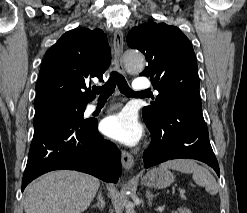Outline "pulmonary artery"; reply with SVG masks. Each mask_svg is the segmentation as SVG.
I'll list each match as a JSON object with an SVG mask.
<instances>
[{
    "label": "pulmonary artery",
    "instance_id": "pulmonary-artery-1",
    "mask_svg": "<svg viewBox=\"0 0 247 213\" xmlns=\"http://www.w3.org/2000/svg\"><path fill=\"white\" fill-rule=\"evenodd\" d=\"M151 85L150 83V79L147 78V77H140V78H137L135 80V83H134V91L136 92H141V91H145L147 88H149ZM98 109V105L97 104H90L88 106V111L89 112H94L95 110Z\"/></svg>",
    "mask_w": 247,
    "mask_h": 213
}]
</instances>
